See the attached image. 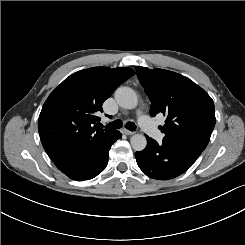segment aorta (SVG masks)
<instances>
[{"label":"aorta","mask_w":245,"mask_h":245,"mask_svg":"<svg viewBox=\"0 0 245 245\" xmlns=\"http://www.w3.org/2000/svg\"><path fill=\"white\" fill-rule=\"evenodd\" d=\"M117 103L125 109H134L138 104L135 91L129 87H120L115 92ZM130 143L135 151H142L147 145V140L142 134H135L131 137Z\"/></svg>","instance_id":"762f6f07"}]
</instances>
